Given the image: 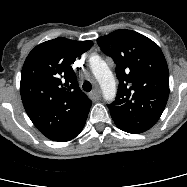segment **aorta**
I'll return each mask as SVG.
<instances>
[{
    "instance_id": "aorta-1",
    "label": "aorta",
    "mask_w": 187,
    "mask_h": 187,
    "mask_svg": "<svg viewBox=\"0 0 187 187\" xmlns=\"http://www.w3.org/2000/svg\"><path fill=\"white\" fill-rule=\"evenodd\" d=\"M89 62L92 73L100 84L104 99L106 101L114 100L116 83L110 68L99 56H91Z\"/></svg>"
}]
</instances>
